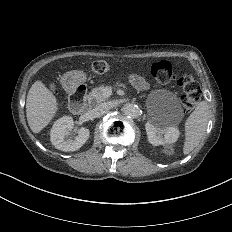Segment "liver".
Wrapping results in <instances>:
<instances>
[{
  "label": "liver",
  "mask_w": 232,
  "mask_h": 232,
  "mask_svg": "<svg viewBox=\"0 0 232 232\" xmlns=\"http://www.w3.org/2000/svg\"><path fill=\"white\" fill-rule=\"evenodd\" d=\"M60 104L54 92L42 80L30 87L26 99V117L31 131L39 134L58 114Z\"/></svg>",
  "instance_id": "6515ba94"
}]
</instances>
